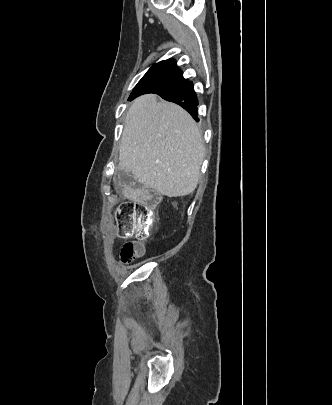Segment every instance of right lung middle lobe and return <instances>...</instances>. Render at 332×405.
Returning a JSON list of instances; mask_svg holds the SVG:
<instances>
[{
    "mask_svg": "<svg viewBox=\"0 0 332 405\" xmlns=\"http://www.w3.org/2000/svg\"><path fill=\"white\" fill-rule=\"evenodd\" d=\"M185 81L186 80L183 77L147 72L138 82V84L134 88V91L140 93L164 91L175 87Z\"/></svg>",
    "mask_w": 332,
    "mask_h": 405,
    "instance_id": "right-lung-middle-lobe-1",
    "label": "right lung middle lobe"
}]
</instances>
